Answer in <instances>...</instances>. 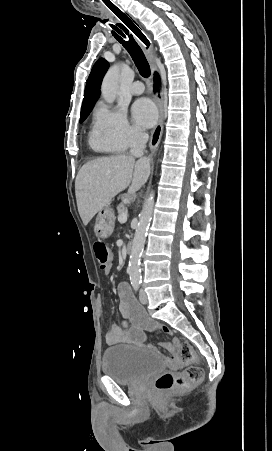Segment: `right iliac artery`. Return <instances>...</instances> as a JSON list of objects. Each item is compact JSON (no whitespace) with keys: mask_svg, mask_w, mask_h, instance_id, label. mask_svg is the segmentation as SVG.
<instances>
[{"mask_svg":"<svg viewBox=\"0 0 272 451\" xmlns=\"http://www.w3.org/2000/svg\"><path fill=\"white\" fill-rule=\"evenodd\" d=\"M131 284H132V286H133L134 291H135V292H138V291H139V288H140L141 282H140V281H134V282H132Z\"/></svg>","mask_w":272,"mask_h":451,"instance_id":"obj_1","label":"right iliac artery"}]
</instances>
